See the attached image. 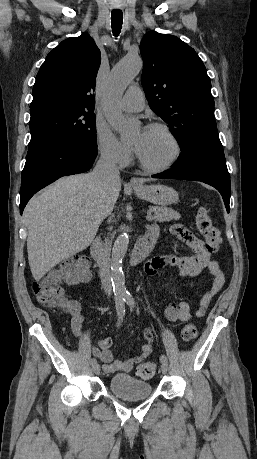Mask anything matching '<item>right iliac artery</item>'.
<instances>
[{"instance_id": "82829eb1", "label": "right iliac artery", "mask_w": 257, "mask_h": 459, "mask_svg": "<svg viewBox=\"0 0 257 459\" xmlns=\"http://www.w3.org/2000/svg\"><path fill=\"white\" fill-rule=\"evenodd\" d=\"M125 300H124V297L123 296H117L115 298V304H116V310L118 312V315H119V320H122L124 314H125V304H124ZM120 325V321L118 323V326ZM90 364L93 366L95 364H97V360L95 358H91L90 359Z\"/></svg>"}]
</instances>
